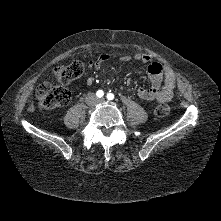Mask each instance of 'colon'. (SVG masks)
<instances>
[{
	"label": "colon",
	"instance_id": "colon-1",
	"mask_svg": "<svg viewBox=\"0 0 221 221\" xmlns=\"http://www.w3.org/2000/svg\"><path fill=\"white\" fill-rule=\"evenodd\" d=\"M84 70V64L78 60L57 67L54 70L57 83H43L36 91V99L40 108L42 110H51L66 105L71 98V93L66 85L73 80L80 78L83 75ZM169 112L170 108L165 103H161L155 108V115L158 117H165Z\"/></svg>",
	"mask_w": 221,
	"mask_h": 221
}]
</instances>
